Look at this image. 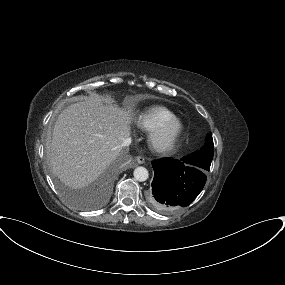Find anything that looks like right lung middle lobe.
Returning <instances> with one entry per match:
<instances>
[{"label":"right lung middle lobe","instance_id":"obj_1","mask_svg":"<svg viewBox=\"0 0 285 285\" xmlns=\"http://www.w3.org/2000/svg\"><path fill=\"white\" fill-rule=\"evenodd\" d=\"M62 188V190L64 191V189H63V187H61ZM65 192V194H66V191H64Z\"/></svg>","mask_w":285,"mask_h":285}]
</instances>
